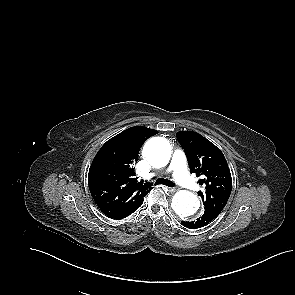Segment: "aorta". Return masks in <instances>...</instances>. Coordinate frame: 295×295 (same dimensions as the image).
<instances>
[{
	"mask_svg": "<svg viewBox=\"0 0 295 295\" xmlns=\"http://www.w3.org/2000/svg\"><path fill=\"white\" fill-rule=\"evenodd\" d=\"M144 154L148 162L154 167H164L171 157V147L162 137H154L144 146ZM172 209L184 220H194L199 216L200 201L198 197L186 190L178 191L172 198Z\"/></svg>",
	"mask_w": 295,
	"mask_h": 295,
	"instance_id": "1",
	"label": "aorta"
}]
</instances>
